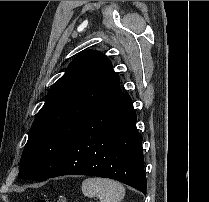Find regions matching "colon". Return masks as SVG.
<instances>
[{
    "label": "colon",
    "mask_w": 209,
    "mask_h": 202,
    "mask_svg": "<svg viewBox=\"0 0 209 202\" xmlns=\"http://www.w3.org/2000/svg\"><path fill=\"white\" fill-rule=\"evenodd\" d=\"M36 202H68V201L64 198H55L54 200L48 198H40Z\"/></svg>",
    "instance_id": "1"
}]
</instances>
